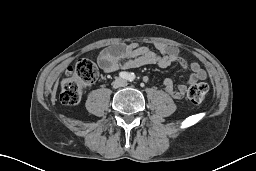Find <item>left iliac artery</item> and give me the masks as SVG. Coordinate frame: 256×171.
I'll return each mask as SVG.
<instances>
[{"mask_svg":"<svg viewBox=\"0 0 256 171\" xmlns=\"http://www.w3.org/2000/svg\"><path fill=\"white\" fill-rule=\"evenodd\" d=\"M128 79H129V81H133L135 79V74L134 73H130Z\"/></svg>","mask_w":256,"mask_h":171,"instance_id":"1","label":"left iliac artery"}]
</instances>
